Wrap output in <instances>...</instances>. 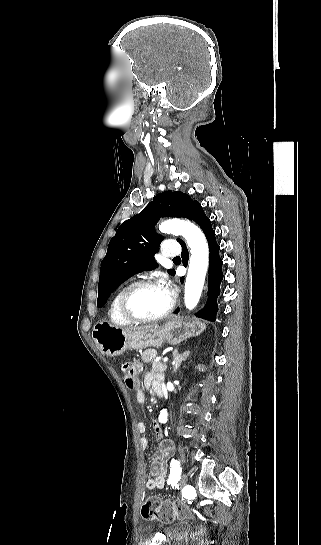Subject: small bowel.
Returning a JSON list of instances; mask_svg holds the SVG:
<instances>
[{"instance_id": "obj_1", "label": "small bowel", "mask_w": 321, "mask_h": 545, "mask_svg": "<svg viewBox=\"0 0 321 545\" xmlns=\"http://www.w3.org/2000/svg\"><path fill=\"white\" fill-rule=\"evenodd\" d=\"M143 383L146 389L152 387L156 393H158V391H160L161 393L163 392L161 377L158 375H153L152 373L146 374ZM136 401L138 404H144L145 396L143 391H137ZM154 427L156 437L159 439V445L157 452L154 454L151 460V477L146 482V487L150 490L156 488L161 489L165 486V478L167 474L166 461L173 453V445L171 444V442L166 439H162L158 426L155 425ZM137 429L140 434H144L146 431V426L144 423L140 422L137 424ZM140 444L142 449H146L148 446V439L146 437H142L140 440Z\"/></svg>"}]
</instances>
